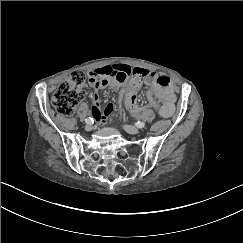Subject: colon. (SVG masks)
<instances>
[{"label":"colon","instance_id":"1","mask_svg":"<svg viewBox=\"0 0 243 243\" xmlns=\"http://www.w3.org/2000/svg\"><path fill=\"white\" fill-rule=\"evenodd\" d=\"M85 79L86 75L83 72L75 71L66 81L59 85L51 101L52 106L58 114L62 116H70L73 114L77 104L86 96L84 90ZM143 79V72H134L127 87L121 92L126 109L134 115L149 109L137 103L136 92Z\"/></svg>","mask_w":243,"mask_h":243}]
</instances>
